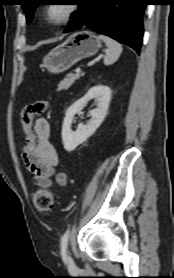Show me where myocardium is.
I'll list each match as a JSON object with an SVG mask.
<instances>
[{"label":"myocardium","mask_w":174,"mask_h":278,"mask_svg":"<svg viewBox=\"0 0 174 278\" xmlns=\"http://www.w3.org/2000/svg\"><path fill=\"white\" fill-rule=\"evenodd\" d=\"M63 5L65 7L64 14L57 19L50 18L47 15V9L51 6V4L43 5L41 8V16H42L43 20L52 26H60L64 23L68 22L69 20H71L75 16V14L78 12L79 6L74 3L63 4Z\"/></svg>","instance_id":"1"}]
</instances>
